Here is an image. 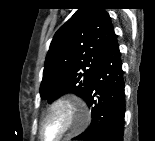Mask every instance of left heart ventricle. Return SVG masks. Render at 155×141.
<instances>
[{
	"label": "left heart ventricle",
	"instance_id": "obj_1",
	"mask_svg": "<svg viewBox=\"0 0 155 141\" xmlns=\"http://www.w3.org/2000/svg\"><path fill=\"white\" fill-rule=\"evenodd\" d=\"M64 128V121L59 114L52 116L43 127L44 137L55 138Z\"/></svg>",
	"mask_w": 155,
	"mask_h": 141
}]
</instances>
